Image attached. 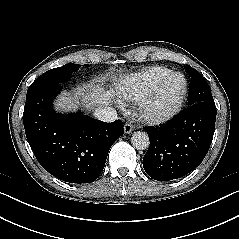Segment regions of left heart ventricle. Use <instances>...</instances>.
<instances>
[{
    "label": "left heart ventricle",
    "instance_id": "obj_1",
    "mask_svg": "<svg viewBox=\"0 0 239 239\" xmlns=\"http://www.w3.org/2000/svg\"><path fill=\"white\" fill-rule=\"evenodd\" d=\"M182 84L180 77H174L166 82L152 98L150 109L154 112L167 110L179 95Z\"/></svg>",
    "mask_w": 239,
    "mask_h": 239
}]
</instances>
